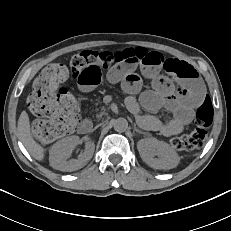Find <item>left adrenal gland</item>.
Segmentation results:
<instances>
[{"label": "left adrenal gland", "instance_id": "a2214340", "mask_svg": "<svg viewBox=\"0 0 231 231\" xmlns=\"http://www.w3.org/2000/svg\"><path fill=\"white\" fill-rule=\"evenodd\" d=\"M134 130L136 131V132H138V133H140V134H144V135H147L148 133H146V132H143V131H141L140 129H138V128H134Z\"/></svg>", "mask_w": 231, "mask_h": 231}]
</instances>
